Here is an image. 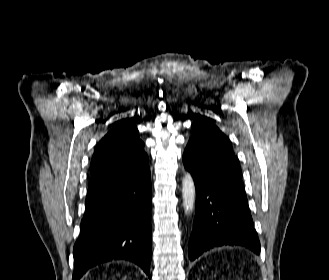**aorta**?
Returning a JSON list of instances; mask_svg holds the SVG:
<instances>
[{
  "mask_svg": "<svg viewBox=\"0 0 329 280\" xmlns=\"http://www.w3.org/2000/svg\"><path fill=\"white\" fill-rule=\"evenodd\" d=\"M196 190L192 176L186 173L182 179L183 207L186 214H189L195 204Z\"/></svg>",
  "mask_w": 329,
  "mask_h": 280,
  "instance_id": "aorta-1",
  "label": "aorta"
}]
</instances>
